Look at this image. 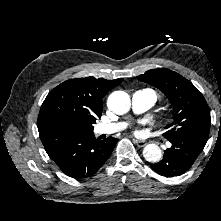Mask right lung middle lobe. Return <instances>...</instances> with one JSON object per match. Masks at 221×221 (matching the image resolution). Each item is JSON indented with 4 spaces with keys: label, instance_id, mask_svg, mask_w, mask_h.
I'll return each instance as SVG.
<instances>
[{
    "label": "right lung middle lobe",
    "instance_id": "right-lung-middle-lobe-1",
    "mask_svg": "<svg viewBox=\"0 0 221 221\" xmlns=\"http://www.w3.org/2000/svg\"><path fill=\"white\" fill-rule=\"evenodd\" d=\"M93 124L94 122L74 120L64 123L62 127L81 133H91L93 132Z\"/></svg>",
    "mask_w": 221,
    "mask_h": 221
}]
</instances>
